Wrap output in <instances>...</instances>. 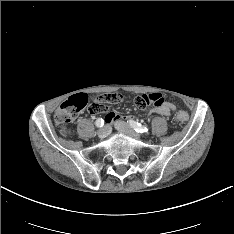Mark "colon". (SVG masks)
I'll return each instance as SVG.
<instances>
[{"instance_id":"obj_1","label":"colon","mask_w":234,"mask_h":234,"mask_svg":"<svg viewBox=\"0 0 234 234\" xmlns=\"http://www.w3.org/2000/svg\"><path fill=\"white\" fill-rule=\"evenodd\" d=\"M92 98H89L86 94L80 93L70 97L59 106L55 113V121L62 127V133L64 135L69 133L65 126L72 122L85 107L87 108ZM187 119L188 115L184 111H179L176 115L177 122L183 123L187 121Z\"/></svg>"}]
</instances>
